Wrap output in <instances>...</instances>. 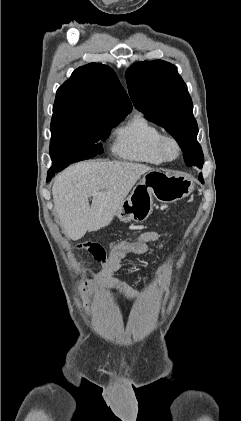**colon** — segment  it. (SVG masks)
I'll return each mask as SVG.
<instances>
[{
	"label": "colon",
	"mask_w": 241,
	"mask_h": 421,
	"mask_svg": "<svg viewBox=\"0 0 241 421\" xmlns=\"http://www.w3.org/2000/svg\"><path fill=\"white\" fill-rule=\"evenodd\" d=\"M90 256L96 261H104L106 258V250L100 243L85 242L80 245ZM147 245L139 241L120 240L110 244V253L114 254H142L147 251Z\"/></svg>",
	"instance_id": "obj_1"
}]
</instances>
